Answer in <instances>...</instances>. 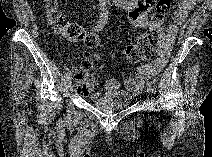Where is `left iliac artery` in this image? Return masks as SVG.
Masks as SVG:
<instances>
[{
    "instance_id": "left-iliac-artery-1",
    "label": "left iliac artery",
    "mask_w": 212,
    "mask_h": 157,
    "mask_svg": "<svg viewBox=\"0 0 212 157\" xmlns=\"http://www.w3.org/2000/svg\"><path fill=\"white\" fill-rule=\"evenodd\" d=\"M148 90L153 93L156 94V89L154 87H152L150 84H148Z\"/></svg>"
}]
</instances>
